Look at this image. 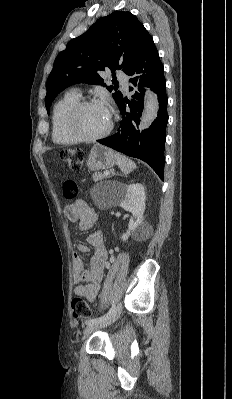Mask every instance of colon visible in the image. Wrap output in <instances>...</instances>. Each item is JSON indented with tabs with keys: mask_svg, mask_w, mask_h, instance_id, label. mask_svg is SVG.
<instances>
[{
	"mask_svg": "<svg viewBox=\"0 0 232 399\" xmlns=\"http://www.w3.org/2000/svg\"><path fill=\"white\" fill-rule=\"evenodd\" d=\"M64 163L68 168H81L82 163H86V152L79 151V148H68L65 151ZM77 186H65L60 190L61 194H74L77 191ZM66 203H71V198H66ZM71 301H81V303H73L71 306V321L76 320H91V316L97 315V308L93 307L91 311V303L87 302L85 296H71Z\"/></svg>",
	"mask_w": 232,
	"mask_h": 399,
	"instance_id": "5ec220e1",
	"label": "colon"
}]
</instances>
